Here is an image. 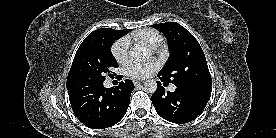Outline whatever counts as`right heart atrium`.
<instances>
[{
	"label": "right heart atrium",
	"instance_id": "obj_1",
	"mask_svg": "<svg viewBox=\"0 0 276 138\" xmlns=\"http://www.w3.org/2000/svg\"><path fill=\"white\" fill-rule=\"evenodd\" d=\"M111 53L118 63H126L129 58L128 40L125 38L117 40L111 47Z\"/></svg>",
	"mask_w": 276,
	"mask_h": 138
}]
</instances>
